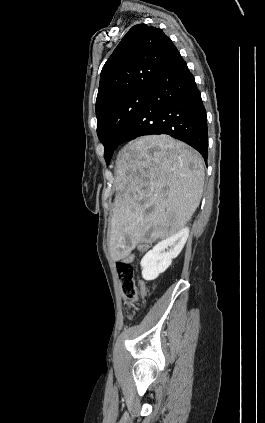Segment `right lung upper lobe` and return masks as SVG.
Here are the masks:
<instances>
[{"label": "right lung upper lobe", "mask_w": 265, "mask_h": 423, "mask_svg": "<svg viewBox=\"0 0 265 423\" xmlns=\"http://www.w3.org/2000/svg\"><path fill=\"white\" fill-rule=\"evenodd\" d=\"M178 53L161 29L145 24L132 27L103 66L96 116L133 92L151 89Z\"/></svg>", "instance_id": "1"}]
</instances>
